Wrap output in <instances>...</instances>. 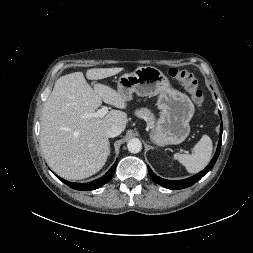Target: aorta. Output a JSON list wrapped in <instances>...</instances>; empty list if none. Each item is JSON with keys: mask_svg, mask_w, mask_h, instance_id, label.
<instances>
[{"mask_svg": "<svg viewBox=\"0 0 253 253\" xmlns=\"http://www.w3.org/2000/svg\"><path fill=\"white\" fill-rule=\"evenodd\" d=\"M127 148H128L129 152H131L133 154H136V153H139L141 151L142 143L139 139L133 138V139L128 141Z\"/></svg>", "mask_w": 253, "mask_h": 253, "instance_id": "762f6f07", "label": "aorta"}]
</instances>
